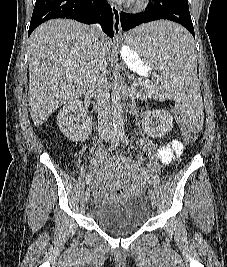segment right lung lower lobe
Returning a JSON list of instances; mask_svg holds the SVG:
<instances>
[{
  "label": "right lung lower lobe",
  "mask_w": 227,
  "mask_h": 267,
  "mask_svg": "<svg viewBox=\"0 0 227 267\" xmlns=\"http://www.w3.org/2000/svg\"><path fill=\"white\" fill-rule=\"evenodd\" d=\"M55 18L75 19L86 24L99 22L108 36H114L113 14L107 0H36L28 36L41 23Z\"/></svg>",
  "instance_id": "1"
}]
</instances>
